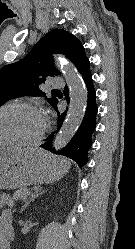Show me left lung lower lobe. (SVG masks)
<instances>
[{
    "instance_id": "left-lung-lower-lobe-1",
    "label": "left lung lower lobe",
    "mask_w": 135,
    "mask_h": 249,
    "mask_svg": "<svg viewBox=\"0 0 135 249\" xmlns=\"http://www.w3.org/2000/svg\"><path fill=\"white\" fill-rule=\"evenodd\" d=\"M80 74L82 76V79L84 80L87 90V104L85 108V114L76 134L73 136L71 141L58 152V154L71 158L76 163H78L80 167H83L87 163L88 150L92 146V134L96 128V115L98 107L96 104V91L93 85L92 74L90 71V62L83 68ZM64 95L67 102H69L67 87H65L64 89ZM57 103L58 101L53 106L55 110H57ZM64 119L65 113L60 114V112H58V130L60 129ZM53 138L54 133H52L47 138V141L42 144L41 147L46 150H50L51 152H55V150L52 149Z\"/></svg>"
}]
</instances>
